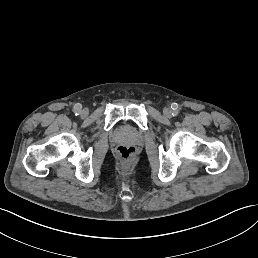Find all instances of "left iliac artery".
Masks as SVG:
<instances>
[{"mask_svg":"<svg viewBox=\"0 0 258 258\" xmlns=\"http://www.w3.org/2000/svg\"><path fill=\"white\" fill-rule=\"evenodd\" d=\"M178 114H179L178 111H173V112H172V116H174V117L178 116Z\"/></svg>","mask_w":258,"mask_h":258,"instance_id":"1","label":"left iliac artery"}]
</instances>
